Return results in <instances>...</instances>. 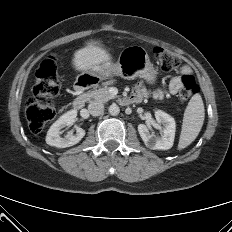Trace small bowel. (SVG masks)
<instances>
[{
	"label": "small bowel",
	"mask_w": 232,
	"mask_h": 232,
	"mask_svg": "<svg viewBox=\"0 0 232 232\" xmlns=\"http://www.w3.org/2000/svg\"><path fill=\"white\" fill-rule=\"evenodd\" d=\"M191 69L189 66H183L181 70L182 75L190 74ZM181 87V76L172 78L166 87L156 88L153 90L148 89L143 83L139 82L134 88L133 96H136L142 100L144 97L153 96L156 99L163 98L166 94H176Z\"/></svg>",
	"instance_id": "obj_1"
}]
</instances>
